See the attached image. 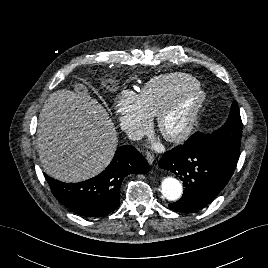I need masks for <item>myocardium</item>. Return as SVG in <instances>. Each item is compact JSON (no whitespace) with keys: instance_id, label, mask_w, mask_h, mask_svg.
I'll list each match as a JSON object with an SVG mask.
<instances>
[{"instance_id":"myocardium-1","label":"myocardium","mask_w":268,"mask_h":268,"mask_svg":"<svg viewBox=\"0 0 268 268\" xmlns=\"http://www.w3.org/2000/svg\"><path fill=\"white\" fill-rule=\"evenodd\" d=\"M187 95L194 96L193 102L188 108L187 120L177 131L167 132L164 129L165 121L182 106L183 100ZM206 98V93L200 86H189L179 91L157 114L156 127L158 132L168 142L181 143L185 141L198 123Z\"/></svg>"}]
</instances>
